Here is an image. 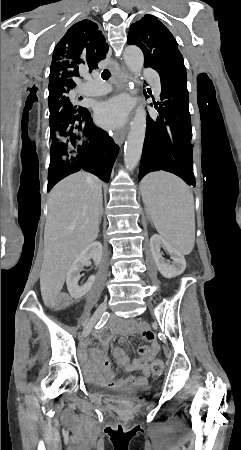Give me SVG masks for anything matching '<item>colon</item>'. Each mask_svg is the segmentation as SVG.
<instances>
[{"instance_id": "5ec220e1", "label": "colon", "mask_w": 241, "mask_h": 450, "mask_svg": "<svg viewBox=\"0 0 241 450\" xmlns=\"http://www.w3.org/2000/svg\"><path fill=\"white\" fill-rule=\"evenodd\" d=\"M152 370L155 375H159L163 370V362L161 360L155 361Z\"/></svg>"}]
</instances>
